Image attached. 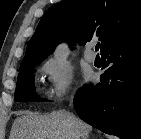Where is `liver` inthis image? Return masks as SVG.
Returning <instances> with one entry per match:
<instances>
[{
  "label": "liver",
  "mask_w": 141,
  "mask_h": 139,
  "mask_svg": "<svg viewBox=\"0 0 141 139\" xmlns=\"http://www.w3.org/2000/svg\"><path fill=\"white\" fill-rule=\"evenodd\" d=\"M91 131L89 124L68 112H22L14 120L10 139H86Z\"/></svg>",
  "instance_id": "obj_1"
}]
</instances>
